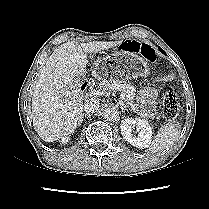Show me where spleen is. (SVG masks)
I'll return each mask as SVG.
<instances>
[{"mask_svg": "<svg viewBox=\"0 0 209 209\" xmlns=\"http://www.w3.org/2000/svg\"><path fill=\"white\" fill-rule=\"evenodd\" d=\"M179 135L180 129L176 124L167 123L163 125L149 145V151L156 153L166 149L178 139Z\"/></svg>", "mask_w": 209, "mask_h": 209, "instance_id": "1", "label": "spleen"}]
</instances>
